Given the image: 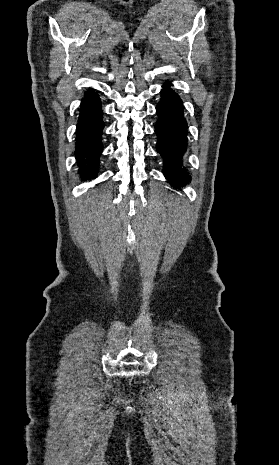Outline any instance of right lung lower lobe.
<instances>
[{
  "mask_svg": "<svg viewBox=\"0 0 279 465\" xmlns=\"http://www.w3.org/2000/svg\"><path fill=\"white\" fill-rule=\"evenodd\" d=\"M103 129L101 101L91 88L81 99L76 129L75 157L78 173L85 180L95 178L99 172Z\"/></svg>",
  "mask_w": 279,
  "mask_h": 465,
  "instance_id": "right-lung-lower-lobe-1",
  "label": "right lung lower lobe"
}]
</instances>
